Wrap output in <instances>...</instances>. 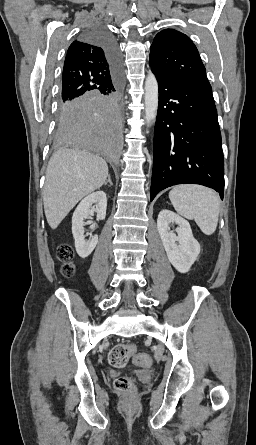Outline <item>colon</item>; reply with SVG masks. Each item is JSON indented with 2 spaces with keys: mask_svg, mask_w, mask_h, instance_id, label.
I'll return each instance as SVG.
<instances>
[{
  "mask_svg": "<svg viewBox=\"0 0 256 445\" xmlns=\"http://www.w3.org/2000/svg\"><path fill=\"white\" fill-rule=\"evenodd\" d=\"M58 256L65 262L63 272L67 277L73 274V265L70 260L73 256V251L68 245H60L58 247ZM135 345L130 343H120L115 345L108 354V362L111 366L122 368L126 366L130 358L135 354ZM146 356H137L136 362L141 364L147 361ZM115 389L125 394H133L136 390V382L133 378L128 376L118 377L114 382Z\"/></svg>",
  "mask_w": 256,
  "mask_h": 445,
  "instance_id": "1",
  "label": "colon"
}]
</instances>
